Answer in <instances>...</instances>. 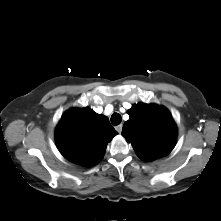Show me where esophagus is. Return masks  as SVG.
I'll return each instance as SVG.
<instances>
[{
	"label": "esophagus",
	"instance_id": "34e87169",
	"mask_svg": "<svg viewBox=\"0 0 221 221\" xmlns=\"http://www.w3.org/2000/svg\"><path fill=\"white\" fill-rule=\"evenodd\" d=\"M122 127H123L122 124H120V125L116 126V130H117L119 133H121Z\"/></svg>",
	"mask_w": 221,
	"mask_h": 221
}]
</instances>
